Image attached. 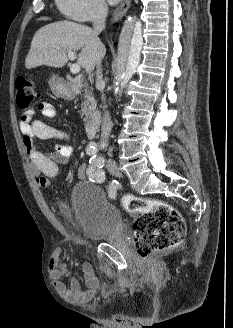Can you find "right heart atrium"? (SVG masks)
Here are the masks:
<instances>
[{
	"label": "right heart atrium",
	"instance_id": "d8ad5b80",
	"mask_svg": "<svg viewBox=\"0 0 233 328\" xmlns=\"http://www.w3.org/2000/svg\"><path fill=\"white\" fill-rule=\"evenodd\" d=\"M56 3L62 14L78 22L99 19L107 11L104 0H56Z\"/></svg>",
	"mask_w": 233,
	"mask_h": 328
}]
</instances>
